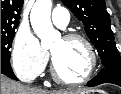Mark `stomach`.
I'll return each mask as SVG.
<instances>
[{
  "label": "stomach",
  "instance_id": "obj_1",
  "mask_svg": "<svg viewBox=\"0 0 121 94\" xmlns=\"http://www.w3.org/2000/svg\"><path fill=\"white\" fill-rule=\"evenodd\" d=\"M80 94H107V93L103 90H91V91L81 92Z\"/></svg>",
  "mask_w": 121,
  "mask_h": 94
}]
</instances>
